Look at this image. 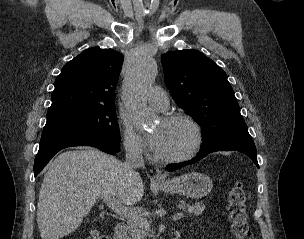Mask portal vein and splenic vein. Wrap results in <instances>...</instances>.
<instances>
[{"instance_id": "1", "label": "portal vein and splenic vein", "mask_w": 304, "mask_h": 239, "mask_svg": "<svg viewBox=\"0 0 304 239\" xmlns=\"http://www.w3.org/2000/svg\"><path fill=\"white\" fill-rule=\"evenodd\" d=\"M103 201L107 204L109 208H111L117 215L122 218H125L128 221H136L140 214L138 212H134L129 210L126 206L122 205L115 198H104ZM183 217V213L175 214L172 219L174 221L179 220Z\"/></svg>"}]
</instances>
